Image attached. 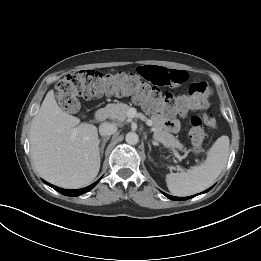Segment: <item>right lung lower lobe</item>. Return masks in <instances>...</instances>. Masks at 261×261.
Masks as SVG:
<instances>
[{
	"instance_id": "obj_1",
	"label": "right lung lower lobe",
	"mask_w": 261,
	"mask_h": 261,
	"mask_svg": "<svg viewBox=\"0 0 261 261\" xmlns=\"http://www.w3.org/2000/svg\"><path fill=\"white\" fill-rule=\"evenodd\" d=\"M98 181H96L95 183L91 184L88 187H85V188H82V189H77V190L61 189V188H58V187H56L54 185H51V184L47 183L46 181H43V182L46 183L47 185L51 186L53 189H55L56 191L60 192L63 195H66V196H79V195L84 194V193L88 192L89 190H91L98 183Z\"/></svg>"
}]
</instances>
